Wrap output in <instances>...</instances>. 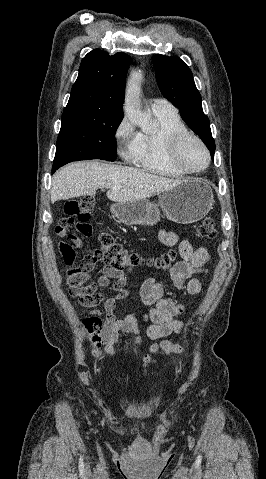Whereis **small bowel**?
Segmentation results:
<instances>
[{
    "mask_svg": "<svg viewBox=\"0 0 266 479\" xmlns=\"http://www.w3.org/2000/svg\"><path fill=\"white\" fill-rule=\"evenodd\" d=\"M161 242L166 246L178 244L181 261L176 263L171 270L170 276L176 289L189 295H198L201 292V283L194 275L207 272L205 264L208 260V252L203 247L194 248L191 240H179L178 236L169 231H161ZM69 244H79V240L73 236H67ZM100 261V255L94 253L84 261L86 267L82 275H85L96 263ZM102 272L105 277L116 279L120 287L113 297L108 298L103 305L106 312L105 319H101L102 310L92 309L82 321V326L88 332L91 343L90 353L100 361L116 358L115 343L120 333H129L136 336L135 344L141 343L139 335L138 315L130 313L122 316L117 313L119 301L129 295L127 288L128 278L122 271H118L108 265H103ZM77 273L69 271L68 283L72 276ZM140 296L146 309L142 313L144 322L150 323L144 328L146 335L151 339L164 338L172 333H180L183 323L176 317L184 311V305L164 297L163 286L154 278L145 280L140 288ZM78 303L84 307H91L85 299L78 298Z\"/></svg>",
    "mask_w": 266,
    "mask_h": 479,
    "instance_id": "small-bowel-1",
    "label": "small bowel"
}]
</instances>
